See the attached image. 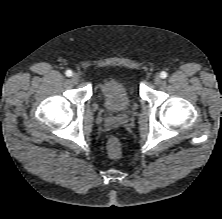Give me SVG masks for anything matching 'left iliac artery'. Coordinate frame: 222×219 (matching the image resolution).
Returning <instances> with one entry per match:
<instances>
[{"label":"left iliac artery","mask_w":222,"mask_h":219,"mask_svg":"<svg viewBox=\"0 0 222 219\" xmlns=\"http://www.w3.org/2000/svg\"><path fill=\"white\" fill-rule=\"evenodd\" d=\"M167 73L165 72V71H162L161 73H160V76H161V78H166L167 77Z\"/></svg>","instance_id":"44dca946"}]
</instances>
